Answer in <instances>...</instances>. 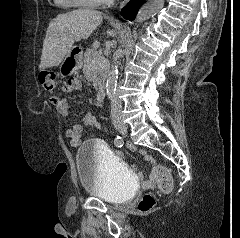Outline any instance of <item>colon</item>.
Wrapping results in <instances>:
<instances>
[{"mask_svg":"<svg viewBox=\"0 0 240 238\" xmlns=\"http://www.w3.org/2000/svg\"><path fill=\"white\" fill-rule=\"evenodd\" d=\"M39 82L47 91H53L56 86V75L49 70H43L39 73ZM153 181H156L159 189L163 192H169L173 187V179L168 171L163 166H155L152 170ZM155 206V198L153 195L145 194L138 203L140 212H148Z\"/></svg>","mask_w":240,"mask_h":238,"instance_id":"obj_1","label":"colon"}]
</instances>
